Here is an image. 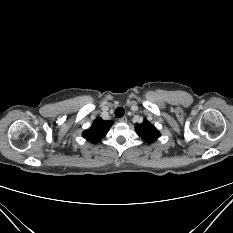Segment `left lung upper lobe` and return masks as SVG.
Returning <instances> with one entry per match:
<instances>
[{
    "label": "left lung upper lobe",
    "mask_w": 233,
    "mask_h": 233,
    "mask_svg": "<svg viewBox=\"0 0 233 233\" xmlns=\"http://www.w3.org/2000/svg\"><path fill=\"white\" fill-rule=\"evenodd\" d=\"M137 134L147 143H152L160 137V132L147 120L136 125Z\"/></svg>",
    "instance_id": "1"
}]
</instances>
